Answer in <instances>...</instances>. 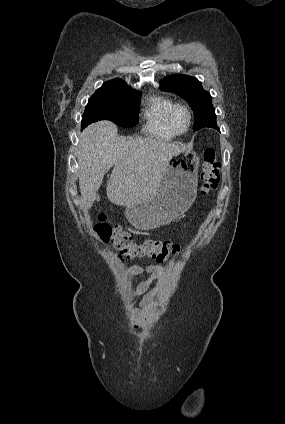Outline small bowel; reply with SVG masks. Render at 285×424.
<instances>
[{
	"label": "small bowel",
	"mask_w": 285,
	"mask_h": 424,
	"mask_svg": "<svg viewBox=\"0 0 285 424\" xmlns=\"http://www.w3.org/2000/svg\"><path fill=\"white\" fill-rule=\"evenodd\" d=\"M128 275H142L148 274V278L141 281L135 291V295H141L140 307L144 314L148 312L152 305L157 303V293L161 287V277L163 269L159 265H148L142 266H130L126 269ZM155 283L154 285H152ZM142 320H135L132 324L134 328H138L142 325Z\"/></svg>",
	"instance_id": "1"
}]
</instances>
